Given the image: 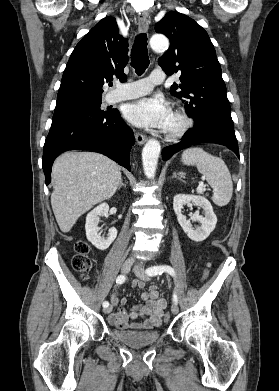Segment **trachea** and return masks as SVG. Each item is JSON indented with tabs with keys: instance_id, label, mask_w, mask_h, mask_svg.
Here are the masks:
<instances>
[{
	"instance_id": "1",
	"label": "trachea",
	"mask_w": 279,
	"mask_h": 391,
	"mask_svg": "<svg viewBox=\"0 0 279 391\" xmlns=\"http://www.w3.org/2000/svg\"><path fill=\"white\" fill-rule=\"evenodd\" d=\"M131 56V66L135 69L137 75H142L149 65L147 36L145 33H141L135 37Z\"/></svg>"
}]
</instances>
